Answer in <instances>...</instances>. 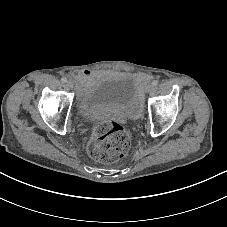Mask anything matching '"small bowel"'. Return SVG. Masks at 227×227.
Returning <instances> with one entry per match:
<instances>
[{
	"instance_id": "1",
	"label": "small bowel",
	"mask_w": 227,
	"mask_h": 227,
	"mask_svg": "<svg viewBox=\"0 0 227 227\" xmlns=\"http://www.w3.org/2000/svg\"><path fill=\"white\" fill-rule=\"evenodd\" d=\"M96 75V73L91 72L89 70H78L76 72L73 73L74 78L77 80V82L82 86H86L87 84H89V82L91 81V79ZM135 80L138 83H145L148 81V77L144 74H138L135 77Z\"/></svg>"
}]
</instances>
